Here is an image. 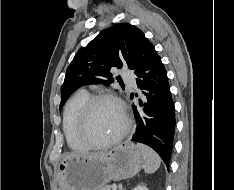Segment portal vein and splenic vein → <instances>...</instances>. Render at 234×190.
<instances>
[{"label":"portal vein and splenic vein","instance_id":"portal-vein-and-splenic-vein-1","mask_svg":"<svg viewBox=\"0 0 234 190\" xmlns=\"http://www.w3.org/2000/svg\"><path fill=\"white\" fill-rule=\"evenodd\" d=\"M112 190H117V185L116 184L112 185Z\"/></svg>","mask_w":234,"mask_h":190}]
</instances>
